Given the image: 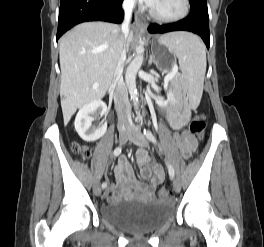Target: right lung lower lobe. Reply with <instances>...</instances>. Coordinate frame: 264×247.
Segmentation results:
<instances>
[{
    "instance_id": "obj_1",
    "label": "right lung lower lobe",
    "mask_w": 264,
    "mask_h": 247,
    "mask_svg": "<svg viewBox=\"0 0 264 247\" xmlns=\"http://www.w3.org/2000/svg\"><path fill=\"white\" fill-rule=\"evenodd\" d=\"M122 2L123 0H61L56 39L82 22L121 23L124 16Z\"/></svg>"
}]
</instances>
